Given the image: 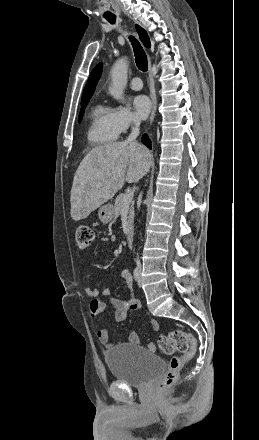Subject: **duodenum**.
I'll use <instances>...</instances> for the list:
<instances>
[{
	"label": "duodenum",
	"mask_w": 259,
	"mask_h": 440,
	"mask_svg": "<svg viewBox=\"0 0 259 440\" xmlns=\"http://www.w3.org/2000/svg\"><path fill=\"white\" fill-rule=\"evenodd\" d=\"M126 242L128 246H132L133 244V231L129 230L126 236Z\"/></svg>",
	"instance_id": "duodenum-1"
}]
</instances>
